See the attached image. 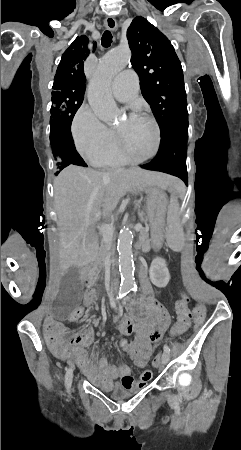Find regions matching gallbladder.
<instances>
[{"label": "gallbladder", "instance_id": "obj_1", "mask_svg": "<svg viewBox=\"0 0 241 450\" xmlns=\"http://www.w3.org/2000/svg\"><path fill=\"white\" fill-rule=\"evenodd\" d=\"M83 286L78 268L67 270L60 283V292L52 304L53 317L56 323H65L69 315L79 310Z\"/></svg>", "mask_w": 241, "mask_h": 450}]
</instances>
